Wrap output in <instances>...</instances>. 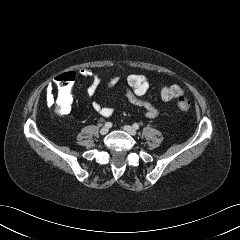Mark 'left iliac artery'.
<instances>
[{"instance_id": "44dca946", "label": "left iliac artery", "mask_w": 240, "mask_h": 240, "mask_svg": "<svg viewBox=\"0 0 240 240\" xmlns=\"http://www.w3.org/2000/svg\"><path fill=\"white\" fill-rule=\"evenodd\" d=\"M133 128H134V129H139V125H138L137 123H134V124H133Z\"/></svg>"}]
</instances>
